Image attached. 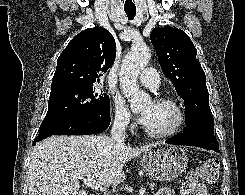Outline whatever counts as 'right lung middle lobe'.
Segmentation results:
<instances>
[{
  "label": "right lung middle lobe",
  "mask_w": 245,
  "mask_h": 195,
  "mask_svg": "<svg viewBox=\"0 0 245 195\" xmlns=\"http://www.w3.org/2000/svg\"><path fill=\"white\" fill-rule=\"evenodd\" d=\"M110 109L108 95L94 86L72 87L50 93L47 114L39 131L97 110Z\"/></svg>",
  "instance_id": "1"
}]
</instances>
